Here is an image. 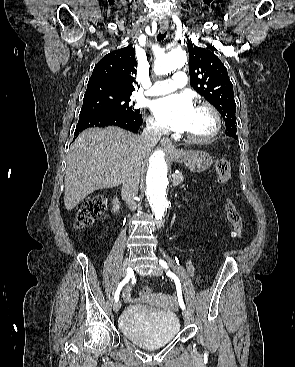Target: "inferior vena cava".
Masks as SVG:
<instances>
[{
    "label": "inferior vena cava",
    "instance_id": "inferior-vena-cava-1",
    "mask_svg": "<svg viewBox=\"0 0 295 367\" xmlns=\"http://www.w3.org/2000/svg\"><path fill=\"white\" fill-rule=\"evenodd\" d=\"M163 133V128L156 124H147L140 136V142L142 148L150 149L160 140ZM140 173L136 168H131L124 180L122 186V197L126 201L131 210L136 209V203L134 197L138 193Z\"/></svg>",
    "mask_w": 295,
    "mask_h": 367
}]
</instances>
